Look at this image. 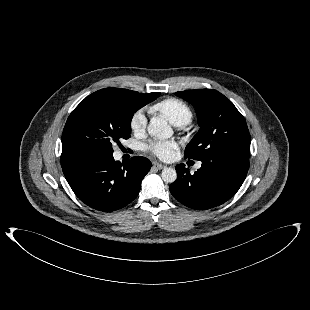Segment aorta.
<instances>
[{"mask_svg":"<svg viewBox=\"0 0 310 310\" xmlns=\"http://www.w3.org/2000/svg\"><path fill=\"white\" fill-rule=\"evenodd\" d=\"M148 133L154 138L167 139L173 135V130L165 119L155 117L150 120ZM161 177L164 182L173 183L177 178L176 170L171 167L165 168L162 171Z\"/></svg>","mask_w":310,"mask_h":310,"instance_id":"1","label":"aorta"}]
</instances>
